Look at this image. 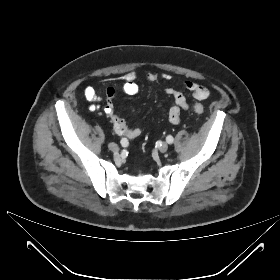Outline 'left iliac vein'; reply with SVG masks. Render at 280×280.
Returning <instances> with one entry per match:
<instances>
[{
	"label": "left iliac vein",
	"instance_id": "1",
	"mask_svg": "<svg viewBox=\"0 0 280 280\" xmlns=\"http://www.w3.org/2000/svg\"><path fill=\"white\" fill-rule=\"evenodd\" d=\"M160 152L165 153L168 150V144L166 142H162V144L159 147Z\"/></svg>",
	"mask_w": 280,
	"mask_h": 280
}]
</instances>
